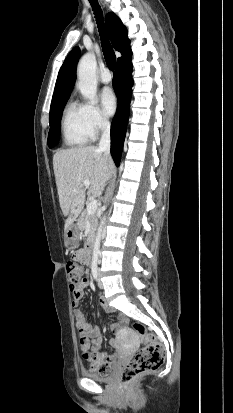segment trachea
Listing matches in <instances>:
<instances>
[{"instance_id":"3493384b","label":"trachea","mask_w":233,"mask_h":413,"mask_svg":"<svg viewBox=\"0 0 233 413\" xmlns=\"http://www.w3.org/2000/svg\"><path fill=\"white\" fill-rule=\"evenodd\" d=\"M90 4L92 6V9L94 11L95 14V18L98 24V29L100 32V36H101V43H102V51H103V55L105 57L106 63L109 67L110 70H114L115 68V64H116V56L115 53L112 49L111 44L109 43V40L105 34V30H104V24H103V13L102 10L98 4L97 0H89Z\"/></svg>"}]
</instances>
